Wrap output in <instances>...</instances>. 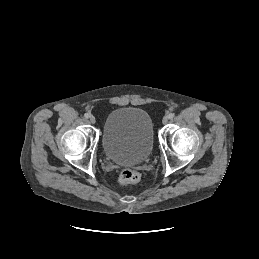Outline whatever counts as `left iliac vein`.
Returning <instances> with one entry per match:
<instances>
[{
  "instance_id": "obj_1",
  "label": "left iliac vein",
  "mask_w": 259,
  "mask_h": 259,
  "mask_svg": "<svg viewBox=\"0 0 259 259\" xmlns=\"http://www.w3.org/2000/svg\"><path fill=\"white\" fill-rule=\"evenodd\" d=\"M168 121H169V120H168V117H164V118L162 119V123H163V124H167Z\"/></svg>"
}]
</instances>
